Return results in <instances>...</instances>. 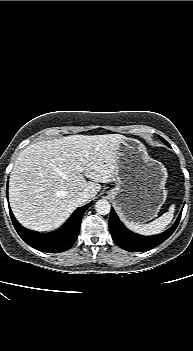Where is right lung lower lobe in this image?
Wrapping results in <instances>:
<instances>
[{"mask_svg": "<svg viewBox=\"0 0 193 351\" xmlns=\"http://www.w3.org/2000/svg\"><path fill=\"white\" fill-rule=\"evenodd\" d=\"M91 204L76 209L60 229L48 234H39L25 229L18 223L10 209L9 212L16 231L28 245L42 252L59 253L68 250L75 243L83 213Z\"/></svg>", "mask_w": 193, "mask_h": 351, "instance_id": "right-lung-lower-lobe-1", "label": "right lung lower lobe"}]
</instances>
